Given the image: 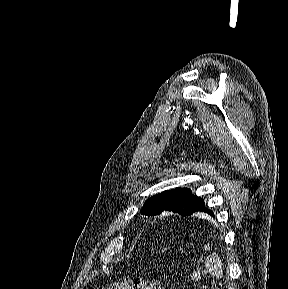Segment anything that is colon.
Listing matches in <instances>:
<instances>
[{"label":"colon","instance_id":"1","mask_svg":"<svg viewBox=\"0 0 288 289\" xmlns=\"http://www.w3.org/2000/svg\"><path fill=\"white\" fill-rule=\"evenodd\" d=\"M99 289H163L158 280L147 279H132L124 277L119 280H114L107 286L100 287Z\"/></svg>","mask_w":288,"mask_h":289}]
</instances>
